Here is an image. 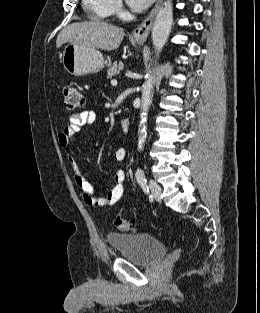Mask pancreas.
I'll return each instance as SVG.
<instances>
[{
  "label": "pancreas",
  "instance_id": "obj_1",
  "mask_svg": "<svg viewBox=\"0 0 260 313\" xmlns=\"http://www.w3.org/2000/svg\"><path fill=\"white\" fill-rule=\"evenodd\" d=\"M124 65L122 62L119 63H114L112 66L109 67V69L107 70L108 73V78H112L113 76H116L120 73V71H122Z\"/></svg>",
  "mask_w": 260,
  "mask_h": 313
}]
</instances>
